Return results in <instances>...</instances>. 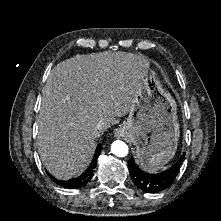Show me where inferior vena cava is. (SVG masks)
<instances>
[{"instance_id": "inferior-vena-cava-1", "label": "inferior vena cava", "mask_w": 221, "mask_h": 221, "mask_svg": "<svg viewBox=\"0 0 221 221\" xmlns=\"http://www.w3.org/2000/svg\"><path fill=\"white\" fill-rule=\"evenodd\" d=\"M103 127H104V123H103L102 121H99V122L96 124V129H97V130H101Z\"/></svg>"}]
</instances>
